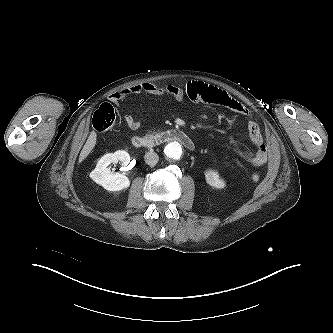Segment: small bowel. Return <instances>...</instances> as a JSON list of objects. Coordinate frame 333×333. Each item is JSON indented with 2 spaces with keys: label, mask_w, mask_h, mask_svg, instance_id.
<instances>
[{
  "label": "small bowel",
  "mask_w": 333,
  "mask_h": 333,
  "mask_svg": "<svg viewBox=\"0 0 333 333\" xmlns=\"http://www.w3.org/2000/svg\"><path fill=\"white\" fill-rule=\"evenodd\" d=\"M138 94L173 98L183 104L189 102L215 104L225 107L240 116L246 117L249 138L256 146V151L250 153L238 149L237 153L254 167L262 166L267 162L268 149L265 145L259 125L254 120L251 111L241 102L228 95L225 91L197 81L188 82L185 88L171 85L159 86L153 83H141L113 93L110 96V100L118 107H121L125 99ZM124 121L128 128L133 131L141 126V122L130 114L124 116Z\"/></svg>",
  "instance_id": "1"
}]
</instances>
